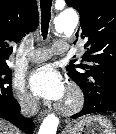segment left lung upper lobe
Here are the masks:
<instances>
[{
	"label": "left lung upper lobe",
	"instance_id": "obj_1",
	"mask_svg": "<svg viewBox=\"0 0 116 134\" xmlns=\"http://www.w3.org/2000/svg\"><path fill=\"white\" fill-rule=\"evenodd\" d=\"M80 14L77 40L86 50L82 61L67 67L85 100L116 97V0H65Z\"/></svg>",
	"mask_w": 116,
	"mask_h": 134
}]
</instances>
